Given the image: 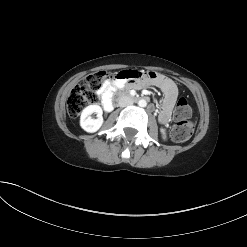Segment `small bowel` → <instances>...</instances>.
Wrapping results in <instances>:
<instances>
[{
  "label": "small bowel",
  "mask_w": 247,
  "mask_h": 247,
  "mask_svg": "<svg viewBox=\"0 0 247 247\" xmlns=\"http://www.w3.org/2000/svg\"><path fill=\"white\" fill-rule=\"evenodd\" d=\"M148 82L158 86L164 94L159 113V122L168 124L171 119L172 109L178 97V89L170 78L158 74L155 71H136L134 68H127L125 71L116 72L114 79L106 81L99 91L104 110H112V97L116 91L126 86L130 88H141Z\"/></svg>",
  "instance_id": "c3829d8e"
}]
</instances>
